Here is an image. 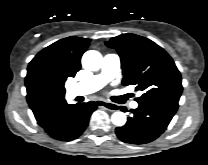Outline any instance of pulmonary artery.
I'll return each instance as SVG.
<instances>
[{
    "label": "pulmonary artery",
    "mask_w": 208,
    "mask_h": 165,
    "mask_svg": "<svg viewBox=\"0 0 208 165\" xmlns=\"http://www.w3.org/2000/svg\"><path fill=\"white\" fill-rule=\"evenodd\" d=\"M120 67V57L117 54H106L103 58L101 72L93 75L89 79L76 83L69 88L70 94L75 96L87 95L101 89L108 81H110L117 73ZM132 108H137L138 103L133 101Z\"/></svg>",
    "instance_id": "pulmonary-artery-1"
}]
</instances>
